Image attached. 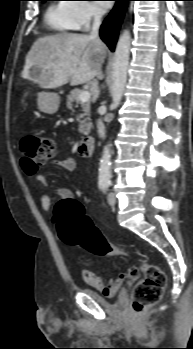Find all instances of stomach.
<instances>
[{"label":"stomach","instance_id":"0dacf381","mask_svg":"<svg viewBox=\"0 0 193 349\" xmlns=\"http://www.w3.org/2000/svg\"><path fill=\"white\" fill-rule=\"evenodd\" d=\"M38 108L45 114H54L60 105V97L57 93L41 91L38 93Z\"/></svg>","mask_w":193,"mask_h":349}]
</instances>
